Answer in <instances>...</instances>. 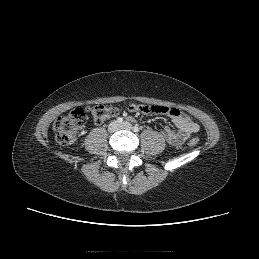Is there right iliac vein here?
<instances>
[{
  "label": "right iliac vein",
  "mask_w": 259,
  "mask_h": 259,
  "mask_svg": "<svg viewBox=\"0 0 259 259\" xmlns=\"http://www.w3.org/2000/svg\"><path fill=\"white\" fill-rule=\"evenodd\" d=\"M118 127H119V125L117 122H112V123H110L108 130L110 132H115L118 129Z\"/></svg>",
  "instance_id": "obj_1"
}]
</instances>
